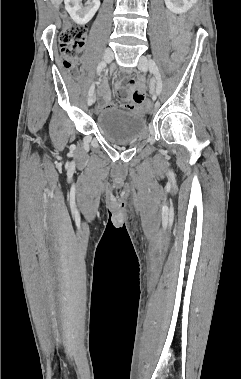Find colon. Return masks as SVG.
<instances>
[{"label": "colon", "instance_id": "1", "mask_svg": "<svg viewBox=\"0 0 241 379\" xmlns=\"http://www.w3.org/2000/svg\"><path fill=\"white\" fill-rule=\"evenodd\" d=\"M197 9L191 8L188 11L186 24H184V29H189V25H194L197 18ZM87 33V27L83 24L68 23L59 35V57L60 63L65 68L75 74L77 66L80 62V56L82 50L85 46V37ZM174 35H179V30H174ZM167 64L169 67L166 73L173 77V71L179 70L180 66L177 61H172V59H167ZM143 105H152V98H143Z\"/></svg>", "mask_w": 241, "mask_h": 379}]
</instances>
